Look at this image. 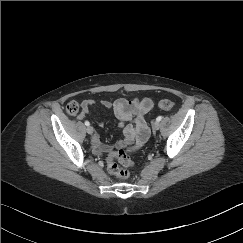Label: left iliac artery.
Wrapping results in <instances>:
<instances>
[{"label": "left iliac artery", "mask_w": 243, "mask_h": 243, "mask_svg": "<svg viewBox=\"0 0 243 243\" xmlns=\"http://www.w3.org/2000/svg\"><path fill=\"white\" fill-rule=\"evenodd\" d=\"M162 120V116H158L157 118H156V121L157 122H160Z\"/></svg>", "instance_id": "1"}]
</instances>
